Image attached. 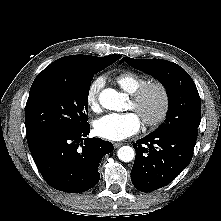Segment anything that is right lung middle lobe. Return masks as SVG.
Returning a JSON list of instances; mask_svg holds the SVG:
<instances>
[{"label": "right lung middle lobe", "mask_w": 221, "mask_h": 221, "mask_svg": "<svg viewBox=\"0 0 221 221\" xmlns=\"http://www.w3.org/2000/svg\"><path fill=\"white\" fill-rule=\"evenodd\" d=\"M99 57L82 73L43 70L35 78L26 103L27 140L53 130H75L88 125L87 103L94 74L117 61Z\"/></svg>", "instance_id": "obj_1"}]
</instances>
